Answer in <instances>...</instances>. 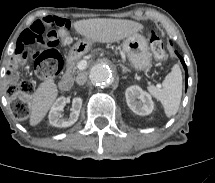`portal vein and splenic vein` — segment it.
Listing matches in <instances>:
<instances>
[{
    "label": "portal vein and splenic vein",
    "mask_w": 215,
    "mask_h": 183,
    "mask_svg": "<svg viewBox=\"0 0 215 183\" xmlns=\"http://www.w3.org/2000/svg\"><path fill=\"white\" fill-rule=\"evenodd\" d=\"M86 67H87V61L86 60H81L77 64V68L79 70H84V69H86Z\"/></svg>",
    "instance_id": "portal-vein-and-splenic-vein-1"
}]
</instances>
